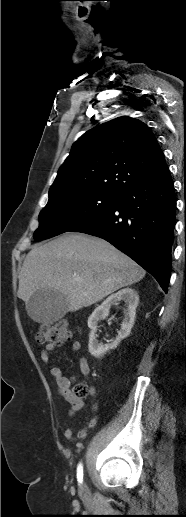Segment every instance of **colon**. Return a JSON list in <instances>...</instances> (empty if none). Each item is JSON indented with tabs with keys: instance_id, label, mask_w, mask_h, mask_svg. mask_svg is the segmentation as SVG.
<instances>
[{
	"instance_id": "5ec220e1",
	"label": "colon",
	"mask_w": 186,
	"mask_h": 517,
	"mask_svg": "<svg viewBox=\"0 0 186 517\" xmlns=\"http://www.w3.org/2000/svg\"><path fill=\"white\" fill-rule=\"evenodd\" d=\"M70 335L66 322L56 324H42L36 332L35 338L38 343H57L67 339ZM76 397L85 398L90 394L89 388L85 384H78L74 388Z\"/></svg>"
}]
</instances>
